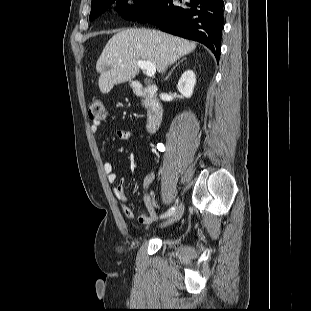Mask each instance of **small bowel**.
Returning <instances> with one entry per match:
<instances>
[{
	"label": "small bowel",
	"instance_id": "small-bowel-1",
	"mask_svg": "<svg viewBox=\"0 0 311 311\" xmlns=\"http://www.w3.org/2000/svg\"><path fill=\"white\" fill-rule=\"evenodd\" d=\"M101 128V122H93L90 126V131L93 134H97L100 131ZM116 137L119 140H130L135 137V135L126 130H117L115 132ZM104 172L107 175V180L110 183H115L117 181V174L114 172V167L112 162L106 161L103 165ZM154 178L153 174L148 175L145 177L143 181V200L145 203L146 211L138 216V221L141 224L149 225L153 221L156 220V212H155V203L152 199L151 193L149 192L148 188L151 184L152 180ZM114 194L116 198L120 201L121 209L124 215L130 219L135 218V214L132 210V208L127 204V197L124 190V182L120 181L115 187H114Z\"/></svg>",
	"mask_w": 311,
	"mask_h": 311
}]
</instances>
